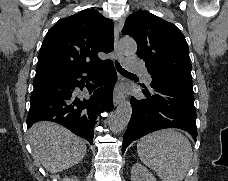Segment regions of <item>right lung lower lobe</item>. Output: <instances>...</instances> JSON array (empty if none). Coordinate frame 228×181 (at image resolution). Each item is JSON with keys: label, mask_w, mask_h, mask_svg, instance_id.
<instances>
[{"label": "right lung lower lobe", "mask_w": 228, "mask_h": 181, "mask_svg": "<svg viewBox=\"0 0 228 181\" xmlns=\"http://www.w3.org/2000/svg\"><path fill=\"white\" fill-rule=\"evenodd\" d=\"M116 80L111 60L35 77L28 128L35 122L52 121L92 144L96 119L102 112L113 109Z\"/></svg>", "instance_id": "1"}]
</instances>
